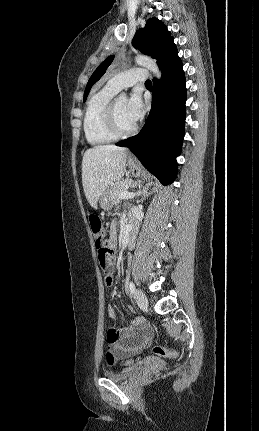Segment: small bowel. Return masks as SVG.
Here are the masks:
<instances>
[{"label": "small bowel", "instance_id": "c3829d8e", "mask_svg": "<svg viewBox=\"0 0 259 431\" xmlns=\"http://www.w3.org/2000/svg\"><path fill=\"white\" fill-rule=\"evenodd\" d=\"M117 241V226L115 223L112 224L110 230V238L108 240L110 246L114 248ZM114 260L111 268L103 266L100 272L103 274L105 280V286L111 287L113 284L114 277L112 276ZM108 314L114 322V326L108 330L117 335V340L111 343V351L107 354V362L113 364L119 358L136 354L146 349L150 344L151 328L141 317L133 319L130 325L126 328H119L117 326L116 313L111 305L108 306Z\"/></svg>", "mask_w": 259, "mask_h": 431}]
</instances>
